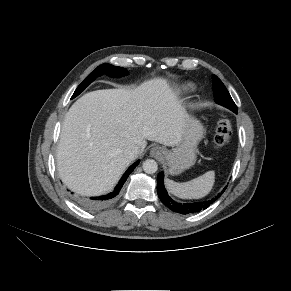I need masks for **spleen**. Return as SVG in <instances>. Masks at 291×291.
I'll use <instances>...</instances> for the list:
<instances>
[{"label":"spleen","mask_w":291,"mask_h":291,"mask_svg":"<svg viewBox=\"0 0 291 291\" xmlns=\"http://www.w3.org/2000/svg\"><path fill=\"white\" fill-rule=\"evenodd\" d=\"M214 182V171H208L205 174L184 183H178L170 179H165V186L171 194L177 197L185 199H198L209 194Z\"/></svg>","instance_id":"spleen-1"}]
</instances>
